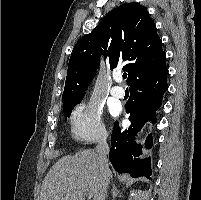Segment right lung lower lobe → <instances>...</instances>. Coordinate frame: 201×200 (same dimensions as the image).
Wrapping results in <instances>:
<instances>
[{
  "mask_svg": "<svg viewBox=\"0 0 201 200\" xmlns=\"http://www.w3.org/2000/svg\"><path fill=\"white\" fill-rule=\"evenodd\" d=\"M167 74L168 69L164 66L130 85L131 96L126 103V113L130 114L131 126L122 131L116 122L111 135L109 160L119 173H129L133 178L144 176L150 179V158H139L142 146L136 144L135 136L147 121L156 122L155 111L161 106L162 96L168 88ZM152 144L150 134L146 138L145 146L151 148Z\"/></svg>",
  "mask_w": 201,
  "mask_h": 200,
  "instance_id": "right-lung-lower-lobe-1",
  "label": "right lung lower lobe"
}]
</instances>
